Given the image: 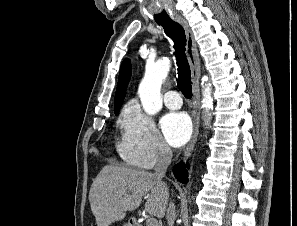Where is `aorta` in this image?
Wrapping results in <instances>:
<instances>
[{
  "label": "aorta",
  "mask_w": 297,
  "mask_h": 226,
  "mask_svg": "<svg viewBox=\"0 0 297 226\" xmlns=\"http://www.w3.org/2000/svg\"><path fill=\"white\" fill-rule=\"evenodd\" d=\"M171 67L169 59H160L155 64L147 66L144 78L139 86V96L142 107L148 115H155L162 109L161 85ZM202 108L207 115L206 124L211 119L210 110L213 109L211 85L203 86Z\"/></svg>",
  "instance_id": "762f6f07"
}]
</instances>
